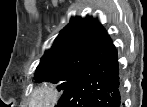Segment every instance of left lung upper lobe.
I'll return each instance as SVG.
<instances>
[{
    "instance_id": "left-lung-upper-lobe-1",
    "label": "left lung upper lobe",
    "mask_w": 147,
    "mask_h": 107,
    "mask_svg": "<svg viewBox=\"0 0 147 107\" xmlns=\"http://www.w3.org/2000/svg\"><path fill=\"white\" fill-rule=\"evenodd\" d=\"M106 37L107 31L92 18H72L41 58L36 81L60 82L58 89L64 90Z\"/></svg>"
}]
</instances>
